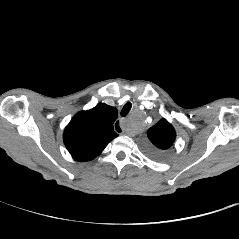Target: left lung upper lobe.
<instances>
[{
  "label": "left lung upper lobe",
  "instance_id": "5c2ea615",
  "mask_svg": "<svg viewBox=\"0 0 239 239\" xmlns=\"http://www.w3.org/2000/svg\"><path fill=\"white\" fill-rule=\"evenodd\" d=\"M175 131L166 119H161L148 130V138L154 147H146L149 156L159 158L163 150H168L175 140Z\"/></svg>",
  "mask_w": 239,
  "mask_h": 239
}]
</instances>
